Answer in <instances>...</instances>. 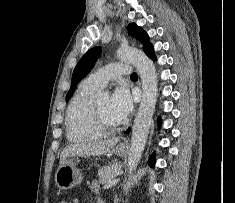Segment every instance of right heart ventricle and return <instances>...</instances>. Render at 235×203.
<instances>
[{
	"label": "right heart ventricle",
	"mask_w": 235,
	"mask_h": 203,
	"mask_svg": "<svg viewBox=\"0 0 235 203\" xmlns=\"http://www.w3.org/2000/svg\"><path fill=\"white\" fill-rule=\"evenodd\" d=\"M98 89L83 81L72 97L66 111V137L73 143L98 139L102 134L92 118L93 96Z\"/></svg>",
	"instance_id": "1"
}]
</instances>
